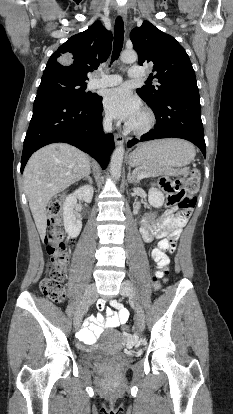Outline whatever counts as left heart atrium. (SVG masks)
<instances>
[{"label": "left heart atrium", "instance_id": "left-heart-atrium-1", "mask_svg": "<svg viewBox=\"0 0 233 414\" xmlns=\"http://www.w3.org/2000/svg\"><path fill=\"white\" fill-rule=\"evenodd\" d=\"M107 114L114 119L132 123L141 114V104L125 87L108 90L103 97Z\"/></svg>", "mask_w": 233, "mask_h": 414}]
</instances>
